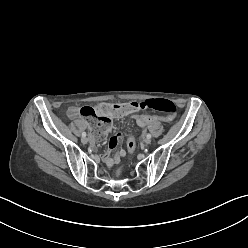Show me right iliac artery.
<instances>
[{
	"mask_svg": "<svg viewBox=\"0 0 248 248\" xmlns=\"http://www.w3.org/2000/svg\"><path fill=\"white\" fill-rule=\"evenodd\" d=\"M82 137H86V132H83L82 133Z\"/></svg>",
	"mask_w": 248,
	"mask_h": 248,
	"instance_id": "82829eb1",
	"label": "right iliac artery"
}]
</instances>
